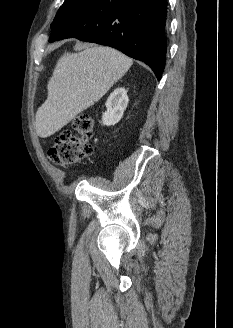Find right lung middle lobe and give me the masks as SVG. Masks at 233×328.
Here are the masks:
<instances>
[{
	"label": "right lung middle lobe",
	"instance_id": "dd1d6c3e",
	"mask_svg": "<svg viewBox=\"0 0 233 328\" xmlns=\"http://www.w3.org/2000/svg\"><path fill=\"white\" fill-rule=\"evenodd\" d=\"M94 0H65L60 10L57 12L56 17L52 23L55 24L58 20L74 13L75 11L87 6ZM51 25V26H52Z\"/></svg>",
	"mask_w": 233,
	"mask_h": 328
}]
</instances>
